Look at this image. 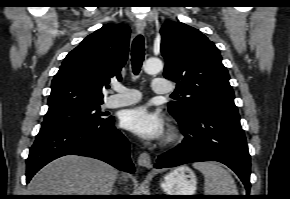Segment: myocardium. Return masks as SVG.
<instances>
[{
    "instance_id": "myocardium-1",
    "label": "myocardium",
    "mask_w": 290,
    "mask_h": 199,
    "mask_svg": "<svg viewBox=\"0 0 290 199\" xmlns=\"http://www.w3.org/2000/svg\"><path fill=\"white\" fill-rule=\"evenodd\" d=\"M178 138H179V132L177 131L176 128L172 127L166 136L165 143L171 144L175 142Z\"/></svg>"
}]
</instances>
